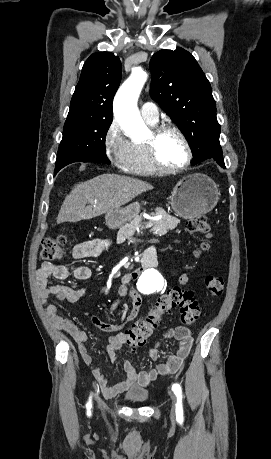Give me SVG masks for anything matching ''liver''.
<instances>
[{"mask_svg": "<svg viewBox=\"0 0 271 459\" xmlns=\"http://www.w3.org/2000/svg\"><path fill=\"white\" fill-rule=\"evenodd\" d=\"M153 186L129 176L102 174L88 182L76 184L66 196L58 214L57 224L61 222H80L91 220L106 212L119 210L135 196L152 190ZM91 204V206H86Z\"/></svg>", "mask_w": 271, "mask_h": 459, "instance_id": "1", "label": "liver"}]
</instances>
